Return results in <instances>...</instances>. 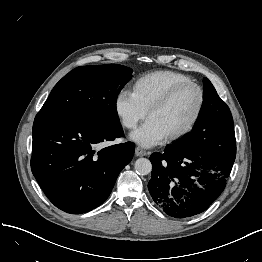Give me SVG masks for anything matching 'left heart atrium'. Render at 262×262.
<instances>
[{"label":"left heart atrium","instance_id":"obj_1","mask_svg":"<svg viewBox=\"0 0 262 262\" xmlns=\"http://www.w3.org/2000/svg\"><path fill=\"white\" fill-rule=\"evenodd\" d=\"M166 134L151 118L130 134V138L143 147H152L163 142Z\"/></svg>","mask_w":262,"mask_h":262}]
</instances>
